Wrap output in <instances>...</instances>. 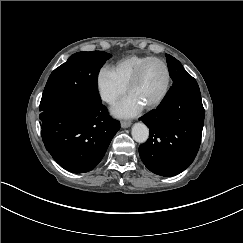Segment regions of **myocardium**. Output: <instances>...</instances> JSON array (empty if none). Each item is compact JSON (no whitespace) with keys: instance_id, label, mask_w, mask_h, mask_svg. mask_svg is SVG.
Returning a JSON list of instances; mask_svg holds the SVG:
<instances>
[{"instance_id":"obj_1","label":"myocardium","mask_w":243,"mask_h":243,"mask_svg":"<svg viewBox=\"0 0 243 243\" xmlns=\"http://www.w3.org/2000/svg\"><path fill=\"white\" fill-rule=\"evenodd\" d=\"M152 61H157L159 63H161L166 71H167V75H168V82H167V86L163 92V94L155 101L148 103L145 105L146 108L148 109H152V108H156L159 105H161L166 98L168 97L171 89H172V85H173V73L171 70L170 65L162 58L159 57H151L145 61H143L137 68V70L135 71V73L132 75V77L130 78V80L128 81L127 85H126V91L127 93H129V90L131 89V87L133 85H135V83L139 80L144 68L146 67V65Z\"/></svg>"}]
</instances>
